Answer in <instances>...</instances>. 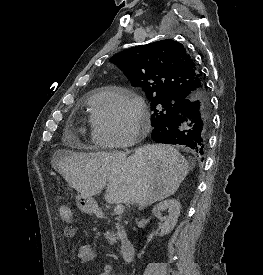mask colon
<instances>
[{
    "label": "colon",
    "instance_id": "obj_1",
    "mask_svg": "<svg viewBox=\"0 0 263 275\" xmlns=\"http://www.w3.org/2000/svg\"><path fill=\"white\" fill-rule=\"evenodd\" d=\"M58 214L63 222L72 220V208L69 205H61L58 209Z\"/></svg>",
    "mask_w": 263,
    "mask_h": 275
}]
</instances>
